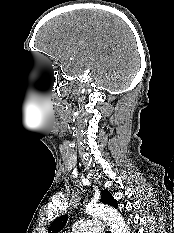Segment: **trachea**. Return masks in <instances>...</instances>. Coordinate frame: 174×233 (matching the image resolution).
Returning <instances> with one entry per match:
<instances>
[{
  "mask_svg": "<svg viewBox=\"0 0 174 233\" xmlns=\"http://www.w3.org/2000/svg\"><path fill=\"white\" fill-rule=\"evenodd\" d=\"M106 233H111L110 231H106Z\"/></svg>",
  "mask_w": 174,
  "mask_h": 233,
  "instance_id": "trachea-1",
  "label": "trachea"
}]
</instances>
